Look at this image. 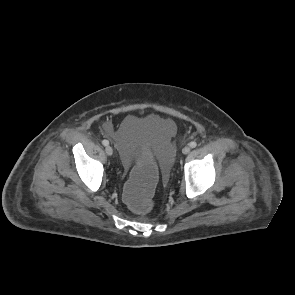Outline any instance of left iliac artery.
<instances>
[{
  "mask_svg": "<svg viewBox=\"0 0 295 295\" xmlns=\"http://www.w3.org/2000/svg\"><path fill=\"white\" fill-rule=\"evenodd\" d=\"M189 145L191 148H195L197 146V143L195 141H192Z\"/></svg>",
  "mask_w": 295,
  "mask_h": 295,
  "instance_id": "obj_1",
  "label": "left iliac artery"
}]
</instances>
